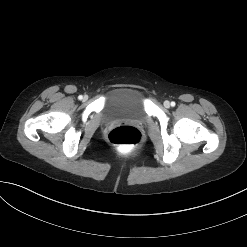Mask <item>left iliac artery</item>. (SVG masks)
I'll return each mask as SVG.
<instances>
[{
  "instance_id": "1",
  "label": "left iliac artery",
  "mask_w": 247,
  "mask_h": 247,
  "mask_svg": "<svg viewBox=\"0 0 247 247\" xmlns=\"http://www.w3.org/2000/svg\"><path fill=\"white\" fill-rule=\"evenodd\" d=\"M171 106H173V107L175 106V102L174 101L171 102Z\"/></svg>"
}]
</instances>
